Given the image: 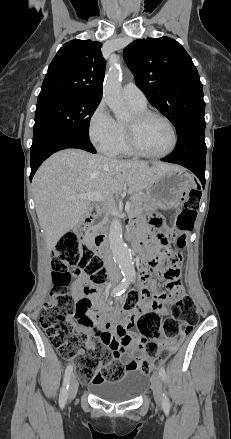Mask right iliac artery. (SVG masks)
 Listing matches in <instances>:
<instances>
[{
	"label": "right iliac artery",
	"instance_id": "right-iliac-artery-1",
	"mask_svg": "<svg viewBox=\"0 0 231 439\" xmlns=\"http://www.w3.org/2000/svg\"><path fill=\"white\" fill-rule=\"evenodd\" d=\"M130 279H126L124 278L121 283L115 287L111 293V295L113 296H119L121 294H123L125 292V290L127 289V287L130 284ZM72 370L73 367L72 365H68L65 371V376H64V381H63V385L61 388V392H60V398H59V403L61 406H64L67 398H68V388H69V381H70V377L72 374Z\"/></svg>",
	"mask_w": 231,
	"mask_h": 439
}]
</instances>
